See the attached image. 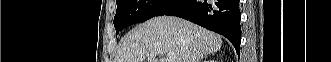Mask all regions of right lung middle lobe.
Wrapping results in <instances>:
<instances>
[{
    "instance_id": "1",
    "label": "right lung middle lobe",
    "mask_w": 331,
    "mask_h": 62,
    "mask_svg": "<svg viewBox=\"0 0 331 62\" xmlns=\"http://www.w3.org/2000/svg\"><path fill=\"white\" fill-rule=\"evenodd\" d=\"M180 0H117L114 17L116 35L123 28L162 15Z\"/></svg>"
}]
</instances>
